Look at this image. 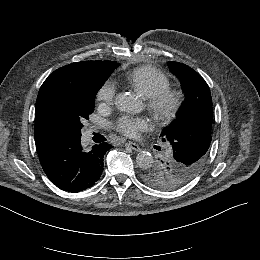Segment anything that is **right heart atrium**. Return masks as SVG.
Returning a JSON list of instances; mask_svg holds the SVG:
<instances>
[{"label":"right heart atrium","mask_w":260,"mask_h":260,"mask_svg":"<svg viewBox=\"0 0 260 260\" xmlns=\"http://www.w3.org/2000/svg\"><path fill=\"white\" fill-rule=\"evenodd\" d=\"M116 91V84L112 80H106L97 91V99L110 104L115 97Z\"/></svg>","instance_id":"1"}]
</instances>
